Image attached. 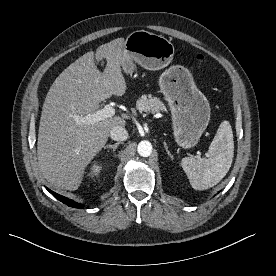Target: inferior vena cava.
Masks as SVG:
<instances>
[{"mask_svg": "<svg viewBox=\"0 0 276 276\" xmlns=\"http://www.w3.org/2000/svg\"><path fill=\"white\" fill-rule=\"evenodd\" d=\"M110 137L114 141H125L128 138V132L122 126H114L110 130Z\"/></svg>", "mask_w": 276, "mask_h": 276, "instance_id": "inferior-vena-cava-1", "label": "inferior vena cava"}]
</instances>
